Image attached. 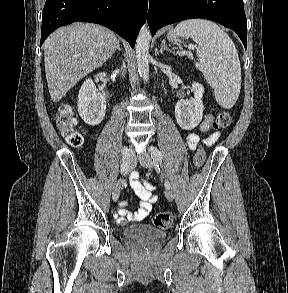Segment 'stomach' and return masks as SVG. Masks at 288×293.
<instances>
[{"label": "stomach", "instance_id": "obj_1", "mask_svg": "<svg viewBox=\"0 0 288 293\" xmlns=\"http://www.w3.org/2000/svg\"><path fill=\"white\" fill-rule=\"evenodd\" d=\"M184 38V35H177L175 33V31L173 30H170L168 32V39L172 42V43H175V44H178V43H181L182 39Z\"/></svg>", "mask_w": 288, "mask_h": 293}]
</instances>
